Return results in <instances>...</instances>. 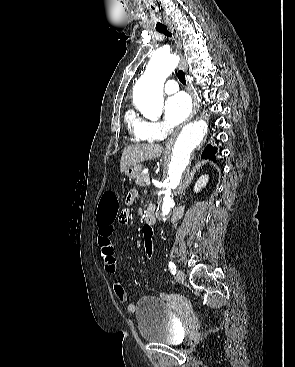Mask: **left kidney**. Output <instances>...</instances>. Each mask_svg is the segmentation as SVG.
Returning <instances> with one entry per match:
<instances>
[{"instance_id":"5707ae66","label":"left kidney","mask_w":295,"mask_h":367,"mask_svg":"<svg viewBox=\"0 0 295 367\" xmlns=\"http://www.w3.org/2000/svg\"><path fill=\"white\" fill-rule=\"evenodd\" d=\"M209 180V176L208 175H202L196 182L195 186H194V192H200V190H202V188H204Z\"/></svg>"}]
</instances>
